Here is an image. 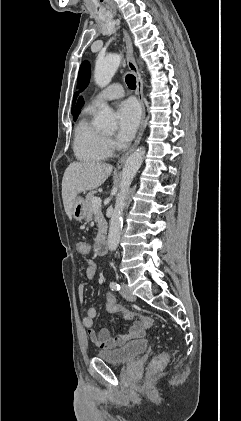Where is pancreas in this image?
<instances>
[{"label":"pancreas","mask_w":241,"mask_h":421,"mask_svg":"<svg viewBox=\"0 0 241 421\" xmlns=\"http://www.w3.org/2000/svg\"><path fill=\"white\" fill-rule=\"evenodd\" d=\"M95 192H89L86 195L85 206H86V219L87 221L96 220L98 226V235H101L107 227L106 220L102 214L101 208H94L92 205V200L94 198Z\"/></svg>","instance_id":"pancreas-1"}]
</instances>
